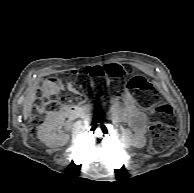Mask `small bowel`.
<instances>
[{"instance_id":"obj_1","label":"small bowel","mask_w":194,"mask_h":193,"mask_svg":"<svg viewBox=\"0 0 194 193\" xmlns=\"http://www.w3.org/2000/svg\"><path fill=\"white\" fill-rule=\"evenodd\" d=\"M123 100L130 126L138 134H144L147 129L146 114L139 108L137 102L129 92H124Z\"/></svg>"}]
</instances>
